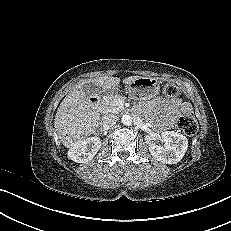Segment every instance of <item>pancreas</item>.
<instances>
[{"instance_id": "pancreas-1", "label": "pancreas", "mask_w": 231, "mask_h": 231, "mask_svg": "<svg viewBox=\"0 0 231 231\" xmlns=\"http://www.w3.org/2000/svg\"><path fill=\"white\" fill-rule=\"evenodd\" d=\"M124 99L121 95L106 96L100 104V111L106 115L109 113H119L124 110Z\"/></svg>"}]
</instances>
